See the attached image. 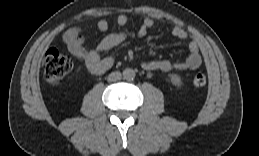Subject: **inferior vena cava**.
<instances>
[{
    "mask_svg": "<svg viewBox=\"0 0 259 156\" xmlns=\"http://www.w3.org/2000/svg\"><path fill=\"white\" fill-rule=\"evenodd\" d=\"M121 73L118 71L112 72L108 75L107 81L108 82H116L121 79Z\"/></svg>",
    "mask_w": 259,
    "mask_h": 156,
    "instance_id": "inferior-vena-cava-1",
    "label": "inferior vena cava"
}]
</instances>
